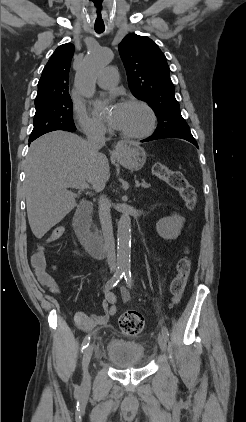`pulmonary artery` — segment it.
Returning a JSON list of instances; mask_svg holds the SVG:
<instances>
[{
	"mask_svg": "<svg viewBox=\"0 0 246 422\" xmlns=\"http://www.w3.org/2000/svg\"><path fill=\"white\" fill-rule=\"evenodd\" d=\"M117 81L118 74L114 67L104 68L97 77V85L104 89L113 88Z\"/></svg>",
	"mask_w": 246,
	"mask_h": 422,
	"instance_id": "1",
	"label": "pulmonary artery"
}]
</instances>
